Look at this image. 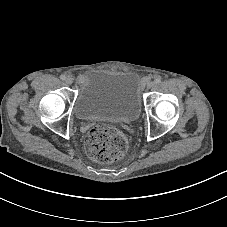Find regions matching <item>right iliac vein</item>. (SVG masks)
Returning <instances> with one entry per match:
<instances>
[{
    "mask_svg": "<svg viewBox=\"0 0 227 227\" xmlns=\"http://www.w3.org/2000/svg\"><path fill=\"white\" fill-rule=\"evenodd\" d=\"M65 82H66L67 85H71L73 83V80H72V78H67L65 80Z\"/></svg>",
    "mask_w": 227,
    "mask_h": 227,
    "instance_id": "63e3f726",
    "label": "right iliac vein"
}]
</instances>
